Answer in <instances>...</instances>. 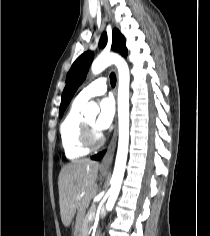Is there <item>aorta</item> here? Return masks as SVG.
Wrapping results in <instances>:
<instances>
[{
    "label": "aorta",
    "instance_id": "762f6f07",
    "mask_svg": "<svg viewBox=\"0 0 210 236\" xmlns=\"http://www.w3.org/2000/svg\"><path fill=\"white\" fill-rule=\"evenodd\" d=\"M111 64L116 65L119 73L118 88V117H119V141L113 175L111 178L110 196L106 203V209L112 210L120 192L124 172L126 168L128 143H129V68L126 61L114 53H101L92 63L91 71L99 74ZM98 106L90 102L82 110L85 116H96Z\"/></svg>",
    "mask_w": 210,
    "mask_h": 236
}]
</instances>
